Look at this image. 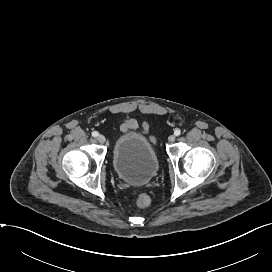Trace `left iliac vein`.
Segmentation results:
<instances>
[{
  "instance_id": "1",
  "label": "left iliac vein",
  "mask_w": 272,
  "mask_h": 272,
  "mask_svg": "<svg viewBox=\"0 0 272 272\" xmlns=\"http://www.w3.org/2000/svg\"><path fill=\"white\" fill-rule=\"evenodd\" d=\"M175 139H176V137H175L174 135H170V136L168 137V141H169V142H174Z\"/></svg>"
}]
</instances>
